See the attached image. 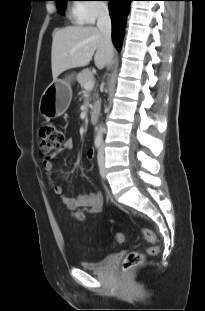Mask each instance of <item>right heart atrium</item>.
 Returning a JSON list of instances; mask_svg holds the SVG:
<instances>
[{"label": "right heart atrium", "mask_w": 205, "mask_h": 311, "mask_svg": "<svg viewBox=\"0 0 205 311\" xmlns=\"http://www.w3.org/2000/svg\"><path fill=\"white\" fill-rule=\"evenodd\" d=\"M103 1L83 2L77 5L80 17L85 23H94L98 18L108 14V8Z\"/></svg>", "instance_id": "d8ad5b80"}]
</instances>
